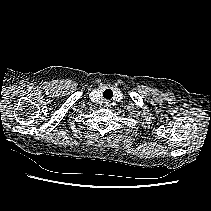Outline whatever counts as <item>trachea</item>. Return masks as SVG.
Instances as JSON below:
<instances>
[{
	"label": "trachea",
	"instance_id": "1",
	"mask_svg": "<svg viewBox=\"0 0 211 211\" xmlns=\"http://www.w3.org/2000/svg\"><path fill=\"white\" fill-rule=\"evenodd\" d=\"M103 95H104V98L111 99L112 96H113V92L110 89H107V90L104 91Z\"/></svg>",
	"mask_w": 211,
	"mask_h": 211
}]
</instances>
